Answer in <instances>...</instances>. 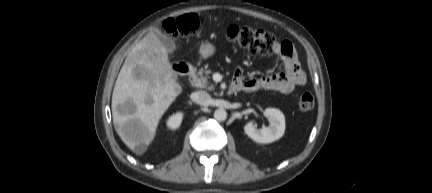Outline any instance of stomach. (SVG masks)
I'll return each mask as SVG.
<instances>
[{
	"label": "stomach",
	"instance_id": "stomach-1",
	"mask_svg": "<svg viewBox=\"0 0 432 193\" xmlns=\"http://www.w3.org/2000/svg\"><path fill=\"white\" fill-rule=\"evenodd\" d=\"M216 51L215 46L210 42H205L200 45L199 54L202 58H208L212 56Z\"/></svg>",
	"mask_w": 432,
	"mask_h": 193
}]
</instances>
